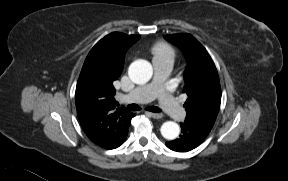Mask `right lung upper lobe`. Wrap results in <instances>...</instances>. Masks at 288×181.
Listing matches in <instances>:
<instances>
[{
	"label": "right lung upper lobe",
	"mask_w": 288,
	"mask_h": 181,
	"mask_svg": "<svg viewBox=\"0 0 288 181\" xmlns=\"http://www.w3.org/2000/svg\"><path fill=\"white\" fill-rule=\"evenodd\" d=\"M140 36L113 32L89 52L76 86V109L89 139L106 149L117 148L134 114L115 107L113 82L123 70L125 53Z\"/></svg>",
	"instance_id": "cb5924a9"
}]
</instances>
